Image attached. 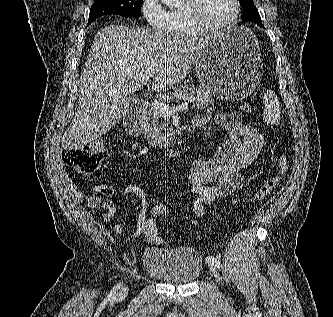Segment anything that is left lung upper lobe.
I'll list each match as a JSON object with an SVG mask.
<instances>
[{"label":"left lung upper lobe","mask_w":333,"mask_h":317,"mask_svg":"<svg viewBox=\"0 0 333 317\" xmlns=\"http://www.w3.org/2000/svg\"><path fill=\"white\" fill-rule=\"evenodd\" d=\"M239 2L243 7L242 20L252 21L263 27L261 17L253 0H239Z\"/></svg>","instance_id":"obj_1"}]
</instances>
